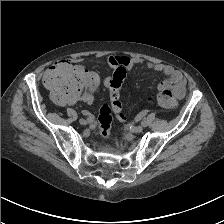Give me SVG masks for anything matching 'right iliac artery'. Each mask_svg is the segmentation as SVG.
<instances>
[{"label":"right iliac artery","instance_id":"1","mask_svg":"<svg viewBox=\"0 0 224 224\" xmlns=\"http://www.w3.org/2000/svg\"><path fill=\"white\" fill-rule=\"evenodd\" d=\"M87 121H88L89 123H93V122H94V118L90 116V117L87 118Z\"/></svg>","mask_w":224,"mask_h":224}]
</instances>
